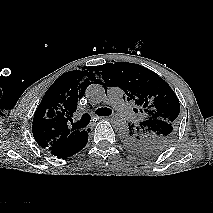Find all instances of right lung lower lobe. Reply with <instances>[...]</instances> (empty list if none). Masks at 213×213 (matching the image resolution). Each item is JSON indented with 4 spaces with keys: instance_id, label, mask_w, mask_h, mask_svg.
I'll return each mask as SVG.
<instances>
[{
    "instance_id": "1",
    "label": "right lung lower lobe",
    "mask_w": 213,
    "mask_h": 213,
    "mask_svg": "<svg viewBox=\"0 0 213 213\" xmlns=\"http://www.w3.org/2000/svg\"><path fill=\"white\" fill-rule=\"evenodd\" d=\"M88 141V133L86 131H83L81 135L75 139L73 142L70 144L60 147L57 149H54L50 151V153L57 158H67L69 156L74 155L75 153L79 152L81 149L85 147Z\"/></svg>"
}]
</instances>
